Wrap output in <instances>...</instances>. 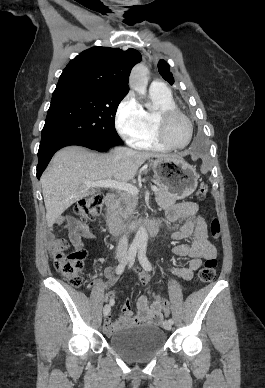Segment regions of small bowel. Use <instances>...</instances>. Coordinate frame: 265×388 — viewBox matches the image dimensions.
<instances>
[{"instance_id":"1","label":"small bowel","mask_w":265,"mask_h":388,"mask_svg":"<svg viewBox=\"0 0 265 388\" xmlns=\"http://www.w3.org/2000/svg\"><path fill=\"white\" fill-rule=\"evenodd\" d=\"M166 218L171 223L183 222V225L171 234V238L180 241L188 237H193L191 244H177L173 251L181 257H188L189 261L185 266L177 267L173 273L184 281H190L194 273L201 267L203 259L215 258L216 247L208 240L207 224L205 219L199 214V206L195 202H185L175 205L166 211ZM57 226H61L68 231L69 242L62 238L51 236L49 241V251L52 254L60 250L67 249L72 244L76 249H83L82 238L91 239L94 232L83 222L72 216L59 217ZM106 281L103 283L105 289H110L118 280L111 268L105 271ZM138 281L141 285H146L149 276L144 272L137 273ZM94 282L88 288L93 287ZM116 293L110 291L106 295L108 302H115ZM138 314L132 312L130 301H126L122 306V314L116 321H111L107 316L104 322V331L110 334L124 326L159 324L162 321V307L158 301L149 304L147 297L140 296L138 299Z\"/></svg>"}]
</instances>
